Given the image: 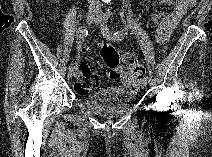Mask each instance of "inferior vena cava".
<instances>
[{"label": "inferior vena cava", "mask_w": 212, "mask_h": 157, "mask_svg": "<svg viewBox=\"0 0 212 157\" xmlns=\"http://www.w3.org/2000/svg\"><path fill=\"white\" fill-rule=\"evenodd\" d=\"M89 9L91 11H99L101 9V4L99 0H88Z\"/></svg>", "instance_id": "inferior-vena-cava-1"}]
</instances>
